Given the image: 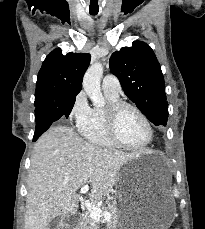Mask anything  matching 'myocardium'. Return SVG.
<instances>
[{"label": "myocardium", "mask_w": 205, "mask_h": 229, "mask_svg": "<svg viewBox=\"0 0 205 229\" xmlns=\"http://www.w3.org/2000/svg\"><path fill=\"white\" fill-rule=\"evenodd\" d=\"M126 109L133 110L143 120V122L146 125L148 136L145 142H143L140 145H128L124 143L118 135V120L121 113ZM105 119L108 136L117 147L138 151L146 148L153 139V127L150 120L137 106L131 103L125 101H117L114 103H110L108 107L105 109Z\"/></svg>", "instance_id": "1"}]
</instances>
